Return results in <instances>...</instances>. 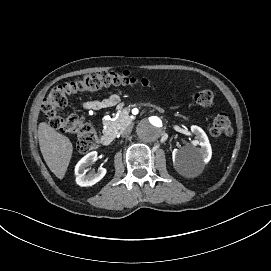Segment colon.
<instances>
[{"label":"colon","mask_w":271,"mask_h":271,"mask_svg":"<svg viewBox=\"0 0 271 271\" xmlns=\"http://www.w3.org/2000/svg\"><path fill=\"white\" fill-rule=\"evenodd\" d=\"M125 85L157 88L148 79L137 77L129 71L89 73L81 79L52 88L43 101L42 110L53 128L66 134L76 135L78 152L86 154L96 149L99 144L93 124L76 114L64 115L61 110L68 104L69 98L76 94ZM192 99L195 104L208 107L214 101V93L209 89H204L195 92ZM231 133L232 123L229 116L226 113H219L213 120L211 134L214 137H222L229 136Z\"/></svg>","instance_id":"5ec220e1"}]
</instances>
